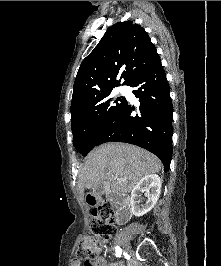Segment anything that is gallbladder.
Wrapping results in <instances>:
<instances>
[{"label":"gallbladder","mask_w":221,"mask_h":266,"mask_svg":"<svg viewBox=\"0 0 221 266\" xmlns=\"http://www.w3.org/2000/svg\"><path fill=\"white\" fill-rule=\"evenodd\" d=\"M92 193L95 195V196H100L102 194L105 193V190H104V187L102 184L98 185L97 187H95L94 189H92Z\"/></svg>","instance_id":"1"}]
</instances>
